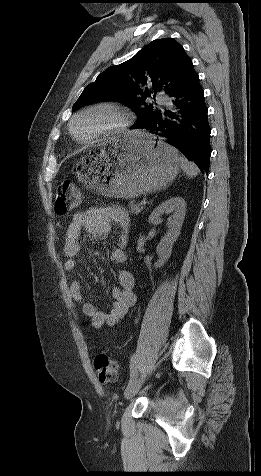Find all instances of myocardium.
Segmentation results:
<instances>
[{
  "instance_id": "1",
  "label": "myocardium",
  "mask_w": 261,
  "mask_h": 476,
  "mask_svg": "<svg viewBox=\"0 0 261 476\" xmlns=\"http://www.w3.org/2000/svg\"><path fill=\"white\" fill-rule=\"evenodd\" d=\"M97 111H109L114 114L115 121L108 127L103 128L93 136L87 139H79L74 133V123L82 116L97 112ZM131 111L125 105L114 101H99L90 104L79 111H77L71 118L68 124L69 133L74 141L79 144H91L104 137L119 134L123 132L131 123Z\"/></svg>"
}]
</instances>
